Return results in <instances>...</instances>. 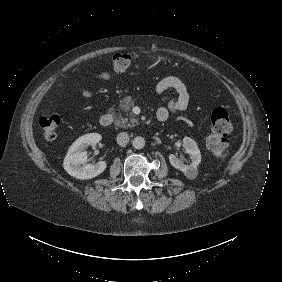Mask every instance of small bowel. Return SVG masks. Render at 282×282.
<instances>
[{"label": "small bowel", "mask_w": 282, "mask_h": 282, "mask_svg": "<svg viewBox=\"0 0 282 282\" xmlns=\"http://www.w3.org/2000/svg\"><path fill=\"white\" fill-rule=\"evenodd\" d=\"M94 78L101 81L110 82L113 75L110 72L103 71L94 74ZM78 92L84 97H92L93 92L82 87H77ZM167 90H174L175 96L168 102L167 106L158 108L156 117L159 121H166L170 113L184 111L189 104V94L186 84L176 76H166L162 78L155 86V92L161 94Z\"/></svg>", "instance_id": "c3829d8e"}]
</instances>
